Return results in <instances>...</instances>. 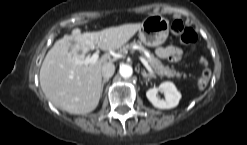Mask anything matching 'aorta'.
I'll return each mask as SVG.
<instances>
[{
  "label": "aorta",
  "instance_id": "1",
  "mask_svg": "<svg viewBox=\"0 0 247 145\" xmlns=\"http://www.w3.org/2000/svg\"><path fill=\"white\" fill-rule=\"evenodd\" d=\"M119 72L123 78H129L133 74V69L130 65L124 64L120 66Z\"/></svg>",
  "mask_w": 247,
  "mask_h": 145
}]
</instances>
